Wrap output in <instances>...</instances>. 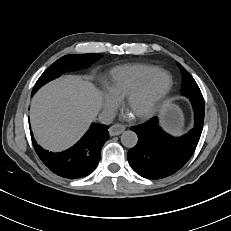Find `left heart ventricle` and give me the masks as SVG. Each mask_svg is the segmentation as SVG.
Listing matches in <instances>:
<instances>
[{"label": "left heart ventricle", "mask_w": 231, "mask_h": 231, "mask_svg": "<svg viewBox=\"0 0 231 231\" xmlns=\"http://www.w3.org/2000/svg\"><path fill=\"white\" fill-rule=\"evenodd\" d=\"M167 78L162 76L157 82L150 86L145 92L134 98L129 106V112L133 115L146 109L162 92Z\"/></svg>", "instance_id": "b2bd125f"}]
</instances>
